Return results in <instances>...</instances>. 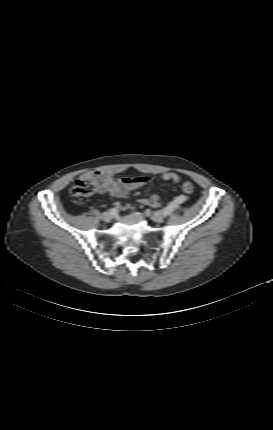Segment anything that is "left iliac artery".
<instances>
[{"label": "left iliac artery", "instance_id": "1", "mask_svg": "<svg viewBox=\"0 0 273 430\" xmlns=\"http://www.w3.org/2000/svg\"><path fill=\"white\" fill-rule=\"evenodd\" d=\"M185 201V198L182 195L177 197V200H174L169 205H167L164 209L161 210V214L163 216H168L172 213L177 204H182Z\"/></svg>", "mask_w": 273, "mask_h": 430}]
</instances>
